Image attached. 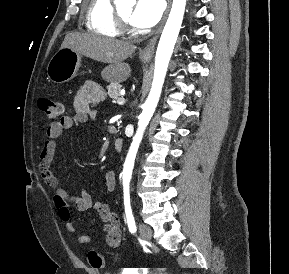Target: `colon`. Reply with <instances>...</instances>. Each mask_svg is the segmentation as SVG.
Returning <instances> with one entry per match:
<instances>
[{
	"instance_id": "obj_1",
	"label": "colon",
	"mask_w": 289,
	"mask_h": 274,
	"mask_svg": "<svg viewBox=\"0 0 289 274\" xmlns=\"http://www.w3.org/2000/svg\"><path fill=\"white\" fill-rule=\"evenodd\" d=\"M39 108L49 119H57L63 111V106L60 102L49 98L40 99ZM88 260L90 265L95 269H103L105 267V260L97 251H90L88 254ZM127 273L134 274L133 271H128Z\"/></svg>"
}]
</instances>
